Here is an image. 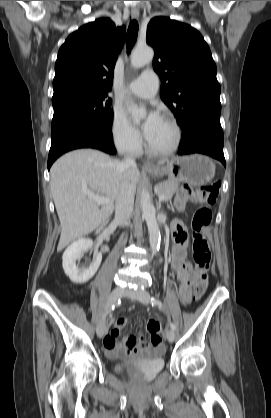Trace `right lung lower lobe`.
Segmentation results:
<instances>
[{
  "instance_id": "98d812e1",
  "label": "right lung lower lobe",
  "mask_w": 271,
  "mask_h": 418,
  "mask_svg": "<svg viewBox=\"0 0 271 418\" xmlns=\"http://www.w3.org/2000/svg\"><path fill=\"white\" fill-rule=\"evenodd\" d=\"M111 127L100 122H89L62 128L51 133L48 170L62 154L78 148H95L115 154Z\"/></svg>"
}]
</instances>
